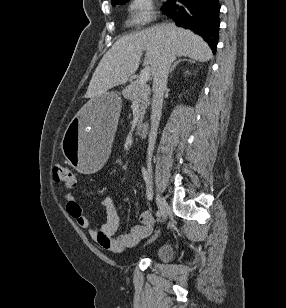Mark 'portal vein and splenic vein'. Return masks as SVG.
Wrapping results in <instances>:
<instances>
[{"mask_svg":"<svg viewBox=\"0 0 286 308\" xmlns=\"http://www.w3.org/2000/svg\"><path fill=\"white\" fill-rule=\"evenodd\" d=\"M150 78V66H146L140 73V76L138 77V81L141 84H145Z\"/></svg>","mask_w":286,"mask_h":308,"instance_id":"1","label":"portal vein and splenic vein"}]
</instances>
